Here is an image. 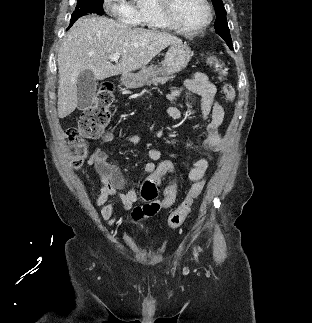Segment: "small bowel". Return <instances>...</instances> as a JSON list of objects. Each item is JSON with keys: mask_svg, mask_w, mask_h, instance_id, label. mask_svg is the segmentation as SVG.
Segmentation results:
<instances>
[{"mask_svg": "<svg viewBox=\"0 0 312 323\" xmlns=\"http://www.w3.org/2000/svg\"><path fill=\"white\" fill-rule=\"evenodd\" d=\"M188 90L201 99V118L206 122V138L205 146L208 153L200 158L190 169L188 178L191 182L201 180L211 162V155L221 150L223 145V138L220 132L224 120V108L216 99V86L209 80L208 76L202 71H196L193 75L186 79L182 85L172 88L168 94L167 99L176 103L182 99L183 92ZM166 115L175 121L182 118L181 111L174 107L169 106L166 108ZM132 144L141 142V137L132 135L128 138ZM147 156L151 160L148 162L144 169L149 176L150 167L154 165V158H161L162 152L158 148H149ZM172 157H176L173 155ZM87 165L93 169L100 183V192L95 200V204L100 208V216L102 220L106 221L109 226H114L118 223L119 217H112L114 212L115 201H119L125 211H132V220L134 222L141 221L142 219L150 216H141L139 208H134V204L138 199V192L135 188L123 191L126 185L124 175L117 166L108 161L107 155L104 151L98 149L87 160ZM114 197V200H110ZM162 209H168L167 206H160Z\"/></svg>", "mask_w": 312, "mask_h": 323, "instance_id": "small-bowel-1", "label": "small bowel"}]
</instances>
